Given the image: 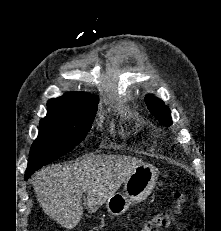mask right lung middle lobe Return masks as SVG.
<instances>
[{
	"instance_id": "dd1d6c3e",
	"label": "right lung middle lobe",
	"mask_w": 221,
	"mask_h": 231,
	"mask_svg": "<svg viewBox=\"0 0 221 231\" xmlns=\"http://www.w3.org/2000/svg\"><path fill=\"white\" fill-rule=\"evenodd\" d=\"M96 110L97 106L76 114L47 113L40 121L27 170H38L75 148L90 130Z\"/></svg>"
}]
</instances>
